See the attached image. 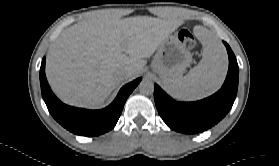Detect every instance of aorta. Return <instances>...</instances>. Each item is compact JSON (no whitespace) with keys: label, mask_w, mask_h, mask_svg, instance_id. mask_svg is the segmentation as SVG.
I'll use <instances>...</instances> for the list:
<instances>
[{"label":"aorta","mask_w":279,"mask_h":166,"mask_svg":"<svg viewBox=\"0 0 279 166\" xmlns=\"http://www.w3.org/2000/svg\"><path fill=\"white\" fill-rule=\"evenodd\" d=\"M139 91L142 94L149 95L154 91V84L148 79H144L139 84Z\"/></svg>","instance_id":"762f6f07"}]
</instances>
